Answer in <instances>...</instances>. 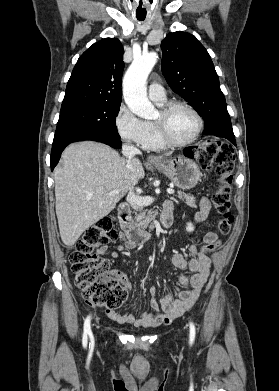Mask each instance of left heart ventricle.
Segmentation results:
<instances>
[{
	"label": "left heart ventricle",
	"instance_id": "obj_1",
	"mask_svg": "<svg viewBox=\"0 0 279 391\" xmlns=\"http://www.w3.org/2000/svg\"><path fill=\"white\" fill-rule=\"evenodd\" d=\"M158 118L159 114L156 119ZM168 129L173 140L185 141L194 135L197 129V120L188 109L177 107L169 115Z\"/></svg>",
	"mask_w": 279,
	"mask_h": 391
}]
</instances>
